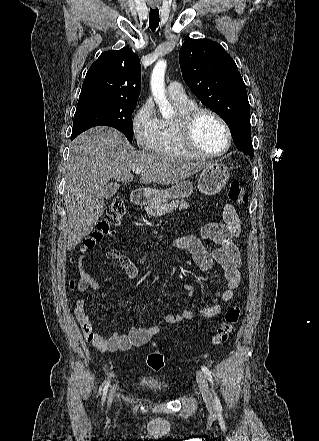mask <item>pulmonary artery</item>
<instances>
[{
  "label": "pulmonary artery",
  "mask_w": 319,
  "mask_h": 441,
  "mask_svg": "<svg viewBox=\"0 0 319 441\" xmlns=\"http://www.w3.org/2000/svg\"><path fill=\"white\" fill-rule=\"evenodd\" d=\"M167 93L172 100L179 102H185L188 100L182 85L178 82L170 83L167 88Z\"/></svg>",
  "instance_id": "obj_1"
}]
</instances>
